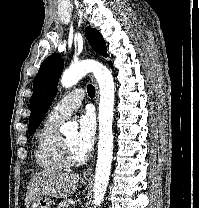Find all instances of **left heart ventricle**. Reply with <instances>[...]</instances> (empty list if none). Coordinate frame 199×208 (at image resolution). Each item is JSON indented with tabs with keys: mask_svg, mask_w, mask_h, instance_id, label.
<instances>
[{
	"mask_svg": "<svg viewBox=\"0 0 199 208\" xmlns=\"http://www.w3.org/2000/svg\"><path fill=\"white\" fill-rule=\"evenodd\" d=\"M65 139H66L67 143L69 144L70 149L73 152L75 157L80 158V157L84 156V154L81 151H79L76 146V141H77V133L76 132H73V133L67 135L65 137Z\"/></svg>",
	"mask_w": 199,
	"mask_h": 208,
	"instance_id": "obj_1",
	"label": "left heart ventricle"
}]
</instances>
